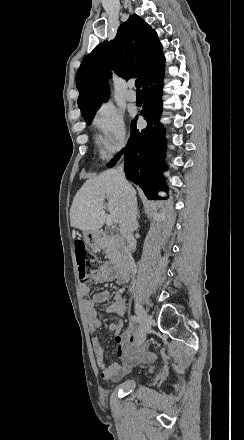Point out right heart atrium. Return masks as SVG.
<instances>
[{"instance_id":"right-heart-atrium-1","label":"right heart atrium","mask_w":244,"mask_h":440,"mask_svg":"<svg viewBox=\"0 0 244 440\" xmlns=\"http://www.w3.org/2000/svg\"><path fill=\"white\" fill-rule=\"evenodd\" d=\"M92 125L99 134L101 148L113 154L126 143V130L123 112L112 103H104L93 115Z\"/></svg>"}]
</instances>
